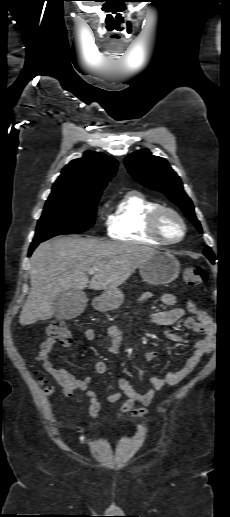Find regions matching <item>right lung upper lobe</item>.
I'll use <instances>...</instances> for the list:
<instances>
[{
    "label": "right lung upper lobe",
    "mask_w": 230,
    "mask_h": 517,
    "mask_svg": "<svg viewBox=\"0 0 230 517\" xmlns=\"http://www.w3.org/2000/svg\"><path fill=\"white\" fill-rule=\"evenodd\" d=\"M117 166V161L105 154L85 152L82 158L64 167L49 198L101 194L107 182L115 175Z\"/></svg>",
    "instance_id": "1"
}]
</instances>
